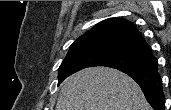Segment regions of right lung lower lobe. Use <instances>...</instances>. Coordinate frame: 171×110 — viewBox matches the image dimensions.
I'll list each match as a JSON object with an SVG mask.
<instances>
[{"label":"right lung lower lobe","mask_w":171,"mask_h":110,"mask_svg":"<svg viewBox=\"0 0 171 110\" xmlns=\"http://www.w3.org/2000/svg\"><path fill=\"white\" fill-rule=\"evenodd\" d=\"M124 73L139 84L148 103L154 110H165V96L157 65L147 70H129L124 71Z\"/></svg>","instance_id":"98d812e1"}]
</instances>
